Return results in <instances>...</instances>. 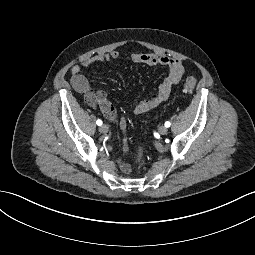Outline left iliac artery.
I'll use <instances>...</instances> for the list:
<instances>
[{
	"mask_svg": "<svg viewBox=\"0 0 255 255\" xmlns=\"http://www.w3.org/2000/svg\"><path fill=\"white\" fill-rule=\"evenodd\" d=\"M164 125H165V127H170V125H171V124H170V122H169V121H167V122H165V124H164Z\"/></svg>",
	"mask_w": 255,
	"mask_h": 255,
	"instance_id": "44dca946",
	"label": "left iliac artery"
}]
</instances>
